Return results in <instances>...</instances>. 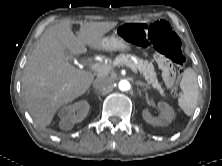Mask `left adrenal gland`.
<instances>
[{
  "mask_svg": "<svg viewBox=\"0 0 222 166\" xmlns=\"http://www.w3.org/2000/svg\"><path fill=\"white\" fill-rule=\"evenodd\" d=\"M135 84L136 85H140V86H146V87H148V85L147 84H145V83H143V82H141V81H137V82H135Z\"/></svg>",
  "mask_w": 222,
  "mask_h": 166,
  "instance_id": "left-adrenal-gland-1",
  "label": "left adrenal gland"
}]
</instances>
